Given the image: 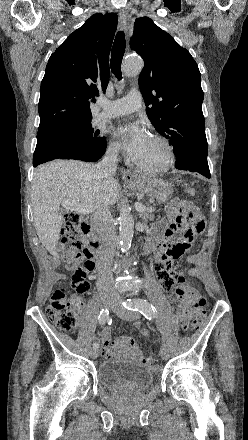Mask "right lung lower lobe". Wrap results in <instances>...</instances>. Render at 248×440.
Listing matches in <instances>:
<instances>
[{"label":"right lung lower lobe","instance_id":"1","mask_svg":"<svg viewBox=\"0 0 248 440\" xmlns=\"http://www.w3.org/2000/svg\"><path fill=\"white\" fill-rule=\"evenodd\" d=\"M106 146H107L106 139H105V143L98 151L96 150L58 151L46 145H37L33 156V166L36 167L41 163H45L47 161H51L54 159H75L86 162H95L103 156Z\"/></svg>","mask_w":248,"mask_h":440}]
</instances>
